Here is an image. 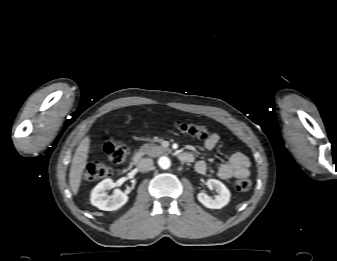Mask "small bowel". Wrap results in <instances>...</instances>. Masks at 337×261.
Instances as JSON below:
<instances>
[{"label": "small bowel", "instance_id": "c3829d8e", "mask_svg": "<svg viewBox=\"0 0 337 261\" xmlns=\"http://www.w3.org/2000/svg\"><path fill=\"white\" fill-rule=\"evenodd\" d=\"M218 142V134L211 133L205 140L204 146L207 150H213L217 146ZM189 154L192 156V160L190 161L192 162L194 157L191 153ZM250 166V160L245 154L241 152H235L230 156L228 162L219 166L217 170V176L223 180L231 178H245L250 173ZM195 170L199 174H205L208 170L207 163L203 160L197 161L195 164Z\"/></svg>", "mask_w": 337, "mask_h": 261}]
</instances>
